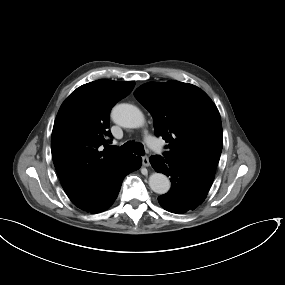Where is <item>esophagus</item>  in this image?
<instances>
[{
  "label": "esophagus",
  "mask_w": 285,
  "mask_h": 285,
  "mask_svg": "<svg viewBox=\"0 0 285 285\" xmlns=\"http://www.w3.org/2000/svg\"><path fill=\"white\" fill-rule=\"evenodd\" d=\"M142 164L145 167H148L150 165L149 158L147 156L142 157Z\"/></svg>",
  "instance_id": "1"
}]
</instances>
